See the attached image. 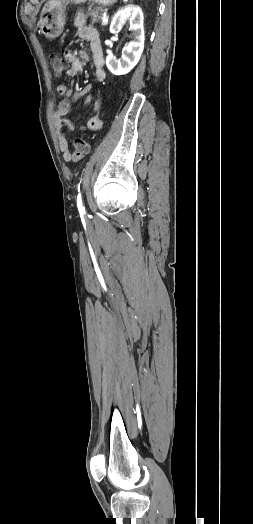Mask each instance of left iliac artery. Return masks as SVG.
Masks as SVG:
<instances>
[{
	"instance_id": "44dca946",
	"label": "left iliac artery",
	"mask_w": 253,
	"mask_h": 524,
	"mask_svg": "<svg viewBox=\"0 0 253 524\" xmlns=\"http://www.w3.org/2000/svg\"><path fill=\"white\" fill-rule=\"evenodd\" d=\"M77 207H78V210L80 212L81 215L85 214V208L82 204V197H81V193L79 192L78 196H77Z\"/></svg>"
}]
</instances>
